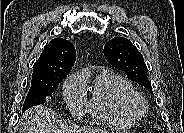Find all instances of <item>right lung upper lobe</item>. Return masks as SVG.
Returning a JSON list of instances; mask_svg holds the SVG:
<instances>
[{"label": "right lung upper lobe", "mask_w": 184, "mask_h": 133, "mask_svg": "<svg viewBox=\"0 0 184 133\" xmlns=\"http://www.w3.org/2000/svg\"><path fill=\"white\" fill-rule=\"evenodd\" d=\"M76 60L73 44L63 38H55L44 47L33 65L32 85H43L55 78L65 79Z\"/></svg>", "instance_id": "cb5924a9"}]
</instances>
